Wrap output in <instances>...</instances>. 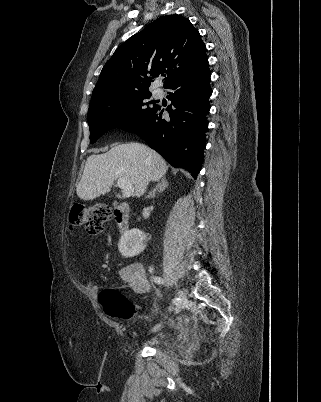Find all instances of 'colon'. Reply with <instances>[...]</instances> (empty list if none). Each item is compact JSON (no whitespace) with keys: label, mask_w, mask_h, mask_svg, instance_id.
<instances>
[{"label":"colon","mask_w":321,"mask_h":402,"mask_svg":"<svg viewBox=\"0 0 321 402\" xmlns=\"http://www.w3.org/2000/svg\"><path fill=\"white\" fill-rule=\"evenodd\" d=\"M111 217L112 211L107 206L75 204L69 211L68 222L71 228L82 226L89 234L98 235ZM99 302L104 313L110 318L129 320L134 314L129 299L117 289H104L100 293Z\"/></svg>","instance_id":"5ec220e1"}]
</instances>
